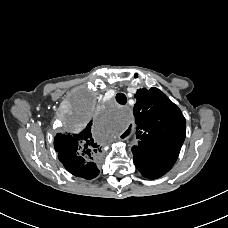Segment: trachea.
<instances>
[{"label":"trachea","mask_w":228,"mask_h":228,"mask_svg":"<svg viewBox=\"0 0 228 228\" xmlns=\"http://www.w3.org/2000/svg\"><path fill=\"white\" fill-rule=\"evenodd\" d=\"M116 101L121 105H125L127 103V97L124 93H118L116 95Z\"/></svg>","instance_id":"3493384b"}]
</instances>
